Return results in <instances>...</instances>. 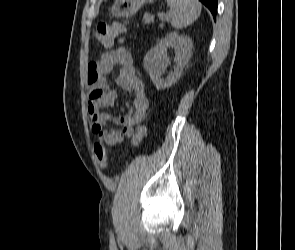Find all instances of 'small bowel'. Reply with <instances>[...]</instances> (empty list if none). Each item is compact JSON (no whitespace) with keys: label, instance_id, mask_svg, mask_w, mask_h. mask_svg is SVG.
Wrapping results in <instances>:
<instances>
[{"label":"small bowel","instance_id":"small-bowel-1","mask_svg":"<svg viewBox=\"0 0 295 250\" xmlns=\"http://www.w3.org/2000/svg\"><path fill=\"white\" fill-rule=\"evenodd\" d=\"M117 69V85L132 95L125 115L113 117L104 109L111 107L116 92L109 88L104 77ZM88 118L91 132L96 136V143L114 146L125 138L133 139L134 127L142 123L150 104L142 79L136 72L133 56L129 49L120 46L105 52L100 59L88 65ZM108 122H114L120 128L108 129Z\"/></svg>","mask_w":295,"mask_h":250}]
</instances>
